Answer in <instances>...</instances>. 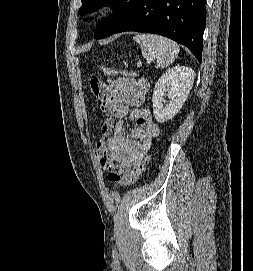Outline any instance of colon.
Here are the masks:
<instances>
[{
  "mask_svg": "<svg viewBox=\"0 0 253 271\" xmlns=\"http://www.w3.org/2000/svg\"><path fill=\"white\" fill-rule=\"evenodd\" d=\"M101 68L106 73L113 72L112 69L107 68L105 66H101ZM118 73H120L121 75H124V76H129L130 75V73L127 70H124V69L118 70ZM90 87H91V90H92L93 94L95 96H99L100 92L103 89V83L99 79L93 78L91 80V82H90ZM148 160H149L148 156L145 157V158H143V159H141V160H139L135 164L134 169L129 174H127V175H120V174H118L116 172H111L108 175V180L111 183L119 185V186L130 185V184L136 182L139 179V177L142 175V173L144 172V170L146 168Z\"/></svg>",
  "mask_w": 253,
  "mask_h": 271,
  "instance_id": "obj_1",
  "label": "colon"
}]
</instances>
